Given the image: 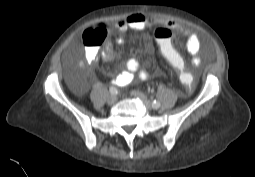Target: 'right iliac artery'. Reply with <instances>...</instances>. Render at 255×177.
<instances>
[{
  "mask_svg": "<svg viewBox=\"0 0 255 177\" xmlns=\"http://www.w3.org/2000/svg\"><path fill=\"white\" fill-rule=\"evenodd\" d=\"M109 91L111 95H116L118 93L117 88L114 86L110 87Z\"/></svg>",
  "mask_w": 255,
  "mask_h": 177,
  "instance_id": "right-iliac-artery-1",
  "label": "right iliac artery"
}]
</instances>
